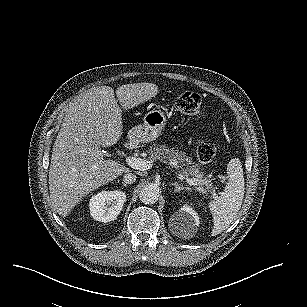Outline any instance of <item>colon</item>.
<instances>
[{
	"label": "colon",
	"instance_id": "obj_1",
	"mask_svg": "<svg viewBox=\"0 0 307 307\" xmlns=\"http://www.w3.org/2000/svg\"><path fill=\"white\" fill-rule=\"evenodd\" d=\"M175 107L184 114H199L202 111L201 96L193 91H185L176 98ZM196 154L201 163H209L217 154V145L211 141H203L198 145Z\"/></svg>",
	"mask_w": 307,
	"mask_h": 307
}]
</instances>
